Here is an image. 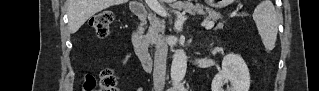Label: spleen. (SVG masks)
<instances>
[{
  "label": "spleen",
  "mask_w": 319,
  "mask_h": 91,
  "mask_svg": "<svg viewBox=\"0 0 319 91\" xmlns=\"http://www.w3.org/2000/svg\"><path fill=\"white\" fill-rule=\"evenodd\" d=\"M258 33L267 51L273 50L277 39L279 20L270 0L262 1L253 12Z\"/></svg>",
  "instance_id": "obj_1"
}]
</instances>
